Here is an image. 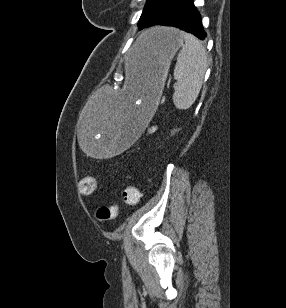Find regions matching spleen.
<instances>
[{
	"instance_id": "spleen-1",
	"label": "spleen",
	"mask_w": 286,
	"mask_h": 308,
	"mask_svg": "<svg viewBox=\"0 0 286 308\" xmlns=\"http://www.w3.org/2000/svg\"><path fill=\"white\" fill-rule=\"evenodd\" d=\"M183 39L185 44L174 69L173 102L180 110L189 109L197 99L207 69V52L202 43L189 33H183Z\"/></svg>"
}]
</instances>
